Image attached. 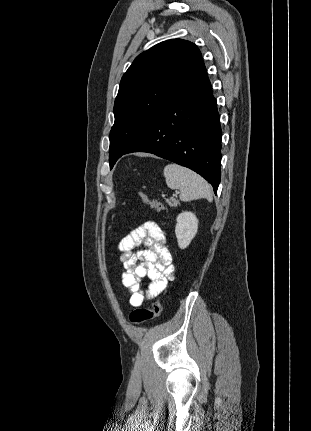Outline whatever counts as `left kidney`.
<instances>
[{"label":"left kidney","instance_id":"obj_1","mask_svg":"<svg viewBox=\"0 0 311 431\" xmlns=\"http://www.w3.org/2000/svg\"><path fill=\"white\" fill-rule=\"evenodd\" d=\"M175 233L179 247L185 249L198 229V219L192 212H182L176 217Z\"/></svg>","mask_w":311,"mask_h":431}]
</instances>
